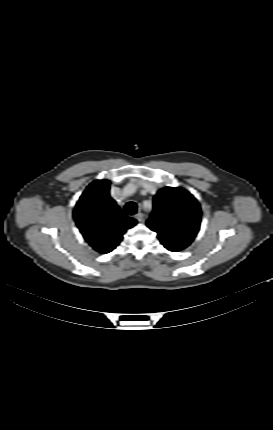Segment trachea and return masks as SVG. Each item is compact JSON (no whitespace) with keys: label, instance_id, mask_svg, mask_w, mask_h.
Instances as JSON below:
<instances>
[{"label":"trachea","instance_id":"1","mask_svg":"<svg viewBox=\"0 0 273 430\" xmlns=\"http://www.w3.org/2000/svg\"><path fill=\"white\" fill-rule=\"evenodd\" d=\"M125 210L128 215H134L137 212V204L134 202H128L125 206Z\"/></svg>","mask_w":273,"mask_h":430}]
</instances>
